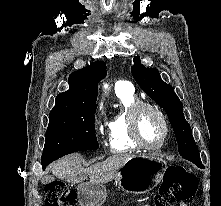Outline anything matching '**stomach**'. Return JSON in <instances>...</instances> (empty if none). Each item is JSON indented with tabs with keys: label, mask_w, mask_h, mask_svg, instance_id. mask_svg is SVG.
<instances>
[{
	"label": "stomach",
	"mask_w": 221,
	"mask_h": 206,
	"mask_svg": "<svg viewBox=\"0 0 221 206\" xmlns=\"http://www.w3.org/2000/svg\"><path fill=\"white\" fill-rule=\"evenodd\" d=\"M166 168L159 157L133 156L118 171L115 181L127 193L144 194L161 183ZM77 193L81 206H101L107 197L105 186L91 181L79 184Z\"/></svg>",
	"instance_id": "0dacf381"
}]
</instances>
